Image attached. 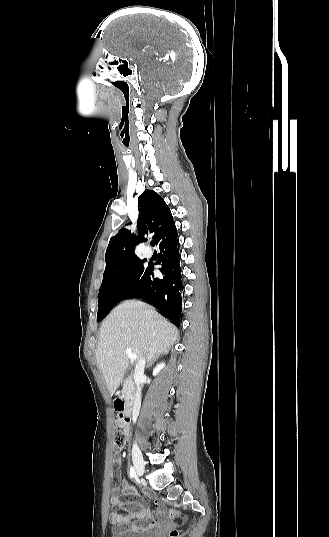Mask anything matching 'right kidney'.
Segmentation results:
<instances>
[{"label": "right kidney", "instance_id": "1", "mask_svg": "<svg viewBox=\"0 0 329 537\" xmlns=\"http://www.w3.org/2000/svg\"><path fill=\"white\" fill-rule=\"evenodd\" d=\"M164 366V363H159L153 370V376H156L160 372V370L164 368Z\"/></svg>", "mask_w": 329, "mask_h": 537}]
</instances>
